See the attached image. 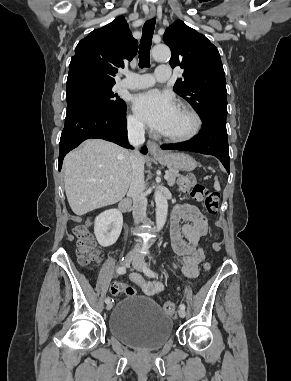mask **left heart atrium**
I'll use <instances>...</instances> for the list:
<instances>
[{
    "label": "left heart atrium",
    "mask_w": 291,
    "mask_h": 381,
    "mask_svg": "<svg viewBox=\"0 0 291 381\" xmlns=\"http://www.w3.org/2000/svg\"><path fill=\"white\" fill-rule=\"evenodd\" d=\"M133 109L149 126L163 132L175 113L177 105L169 94L151 90L133 98Z\"/></svg>",
    "instance_id": "obj_1"
}]
</instances>
